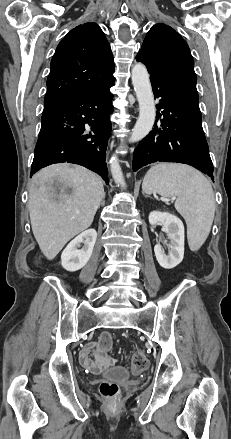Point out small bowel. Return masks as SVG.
<instances>
[{
    "instance_id": "small-bowel-1",
    "label": "small bowel",
    "mask_w": 231,
    "mask_h": 439,
    "mask_svg": "<svg viewBox=\"0 0 231 439\" xmlns=\"http://www.w3.org/2000/svg\"><path fill=\"white\" fill-rule=\"evenodd\" d=\"M79 361L92 373H99L115 362L114 358L100 349L98 342L86 344L79 353Z\"/></svg>"
}]
</instances>
